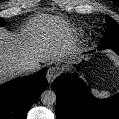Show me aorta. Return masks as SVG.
I'll list each match as a JSON object with an SVG mask.
<instances>
[{
  "mask_svg": "<svg viewBox=\"0 0 119 119\" xmlns=\"http://www.w3.org/2000/svg\"><path fill=\"white\" fill-rule=\"evenodd\" d=\"M40 99H41V102L44 104V105H53L57 98H56V94L54 93L53 90H46L44 91L41 96H40Z\"/></svg>",
  "mask_w": 119,
  "mask_h": 119,
  "instance_id": "1",
  "label": "aorta"
}]
</instances>
